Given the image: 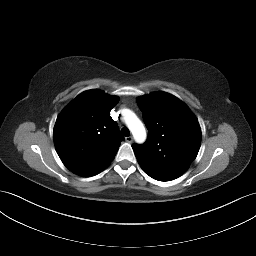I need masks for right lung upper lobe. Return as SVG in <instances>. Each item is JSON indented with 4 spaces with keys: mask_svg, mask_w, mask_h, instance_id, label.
<instances>
[{
    "mask_svg": "<svg viewBox=\"0 0 256 256\" xmlns=\"http://www.w3.org/2000/svg\"><path fill=\"white\" fill-rule=\"evenodd\" d=\"M118 103L116 96L101 90L78 95L58 116L54 143L63 164L82 175L108 166L124 139L110 110Z\"/></svg>",
    "mask_w": 256,
    "mask_h": 256,
    "instance_id": "1",
    "label": "right lung upper lobe"
}]
</instances>
